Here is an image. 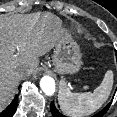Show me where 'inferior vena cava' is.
Segmentation results:
<instances>
[{"instance_id": "1", "label": "inferior vena cava", "mask_w": 117, "mask_h": 117, "mask_svg": "<svg viewBox=\"0 0 117 117\" xmlns=\"http://www.w3.org/2000/svg\"><path fill=\"white\" fill-rule=\"evenodd\" d=\"M26 71H27V69H25V68H22V69H21V72H22V73H25Z\"/></svg>"}]
</instances>
